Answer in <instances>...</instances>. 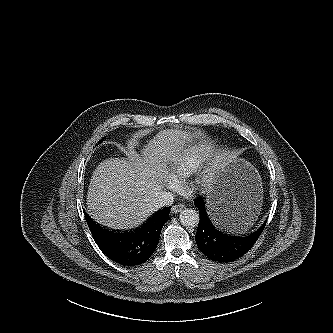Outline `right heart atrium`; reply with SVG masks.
<instances>
[{
    "label": "right heart atrium",
    "instance_id": "obj_1",
    "mask_svg": "<svg viewBox=\"0 0 333 333\" xmlns=\"http://www.w3.org/2000/svg\"><path fill=\"white\" fill-rule=\"evenodd\" d=\"M167 183L169 184L170 187H175L177 185V181L174 177H167Z\"/></svg>",
    "mask_w": 333,
    "mask_h": 333
}]
</instances>
